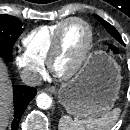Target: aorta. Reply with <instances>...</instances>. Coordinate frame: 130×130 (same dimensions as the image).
<instances>
[{"label":"aorta","mask_w":130,"mask_h":130,"mask_svg":"<svg viewBox=\"0 0 130 130\" xmlns=\"http://www.w3.org/2000/svg\"><path fill=\"white\" fill-rule=\"evenodd\" d=\"M36 103L41 109H49L52 105V98L46 93H41L36 97Z\"/></svg>","instance_id":"762f6f07"}]
</instances>
